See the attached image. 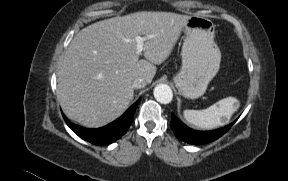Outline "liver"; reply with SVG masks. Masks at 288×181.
<instances>
[{
    "mask_svg": "<svg viewBox=\"0 0 288 181\" xmlns=\"http://www.w3.org/2000/svg\"><path fill=\"white\" fill-rule=\"evenodd\" d=\"M189 16L136 12L93 23L77 33L58 70L57 97L64 114L86 127L118 118L134 96L133 81L150 84L155 65L170 55ZM146 37L139 59L135 37Z\"/></svg>",
    "mask_w": 288,
    "mask_h": 181,
    "instance_id": "liver-1",
    "label": "liver"
}]
</instances>
